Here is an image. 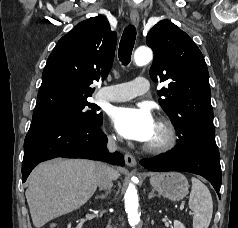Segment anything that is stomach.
I'll return each mask as SVG.
<instances>
[{
  "mask_svg": "<svg viewBox=\"0 0 238 228\" xmlns=\"http://www.w3.org/2000/svg\"><path fill=\"white\" fill-rule=\"evenodd\" d=\"M150 184L162 196L179 201L188 194L189 183L187 178L178 172L153 174Z\"/></svg>",
  "mask_w": 238,
  "mask_h": 228,
  "instance_id": "1",
  "label": "stomach"
}]
</instances>
